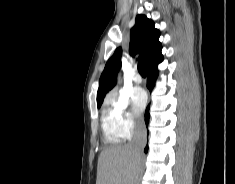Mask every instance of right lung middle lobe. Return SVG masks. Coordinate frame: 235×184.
<instances>
[{
	"instance_id": "1",
	"label": "right lung middle lobe",
	"mask_w": 235,
	"mask_h": 184,
	"mask_svg": "<svg viewBox=\"0 0 235 184\" xmlns=\"http://www.w3.org/2000/svg\"><path fill=\"white\" fill-rule=\"evenodd\" d=\"M101 105H97L98 108H100Z\"/></svg>"
}]
</instances>
